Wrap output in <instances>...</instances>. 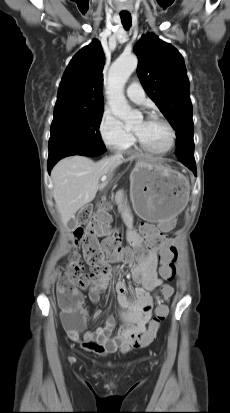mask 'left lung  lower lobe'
<instances>
[{
	"instance_id": "0a47b994",
	"label": "left lung lower lobe",
	"mask_w": 230,
	"mask_h": 413,
	"mask_svg": "<svg viewBox=\"0 0 230 413\" xmlns=\"http://www.w3.org/2000/svg\"><path fill=\"white\" fill-rule=\"evenodd\" d=\"M183 164L188 167L196 176L197 172H196V163L195 162H183Z\"/></svg>"
}]
</instances>
